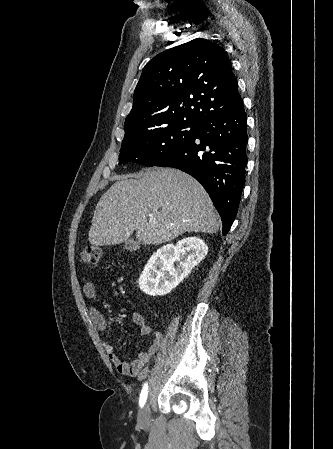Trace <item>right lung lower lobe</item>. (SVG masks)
Returning a JSON list of instances; mask_svg holds the SVG:
<instances>
[{
  "instance_id": "98d812e1",
  "label": "right lung lower lobe",
  "mask_w": 333,
  "mask_h": 449,
  "mask_svg": "<svg viewBox=\"0 0 333 449\" xmlns=\"http://www.w3.org/2000/svg\"><path fill=\"white\" fill-rule=\"evenodd\" d=\"M247 140V115L239 97L206 116L190 139L156 165L180 169L202 184L221 216L223 235L238 210Z\"/></svg>"
}]
</instances>
